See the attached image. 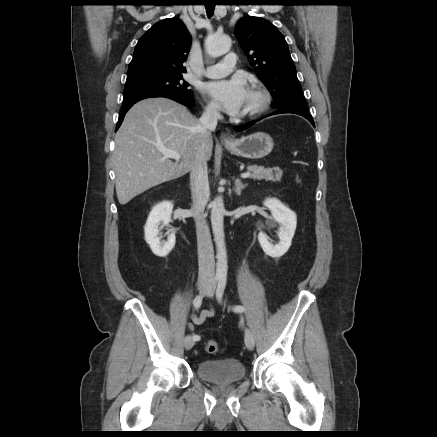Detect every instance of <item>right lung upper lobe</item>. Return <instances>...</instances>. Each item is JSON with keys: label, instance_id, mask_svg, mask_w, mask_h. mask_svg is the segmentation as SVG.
<instances>
[{"label": "right lung upper lobe", "instance_id": "cb5924a9", "mask_svg": "<svg viewBox=\"0 0 437 437\" xmlns=\"http://www.w3.org/2000/svg\"><path fill=\"white\" fill-rule=\"evenodd\" d=\"M190 45L191 35L180 19L159 21L139 39L127 73H184Z\"/></svg>", "mask_w": 437, "mask_h": 437}]
</instances>
